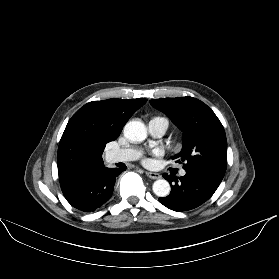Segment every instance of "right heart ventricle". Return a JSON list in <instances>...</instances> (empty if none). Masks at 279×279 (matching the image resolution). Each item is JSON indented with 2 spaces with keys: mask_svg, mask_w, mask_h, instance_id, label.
<instances>
[{
  "mask_svg": "<svg viewBox=\"0 0 279 279\" xmlns=\"http://www.w3.org/2000/svg\"><path fill=\"white\" fill-rule=\"evenodd\" d=\"M154 119H162V120L167 121L165 118H160V117H156V118H154Z\"/></svg>",
  "mask_w": 279,
  "mask_h": 279,
  "instance_id": "1",
  "label": "right heart ventricle"
}]
</instances>
